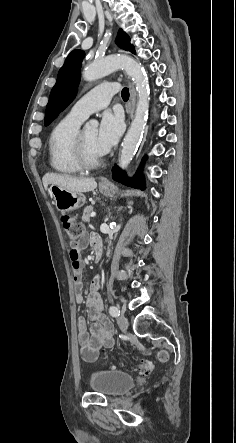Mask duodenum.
Returning <instances> with one entry per match:
<instances>
[{
    "label": "duodenum",
    "instance_id": "duodenum-1",
    "mask_svg": "<svg viewBox=\"0 0 236 443\" xmlns=\"http://www.w3.org/2000/svg\"><path fill=\"white\" fill-rule=\"evenodd\" d=\"M102 255V245H99L94 249V259L99 260Z\"/></svg>",
    "mask_w": 236,
    "mask_h": 443
}]
</instances>
